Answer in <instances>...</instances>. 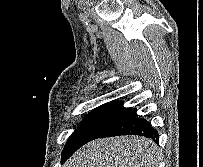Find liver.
<instances>
[{
  "label": "liver",
  "instance_id": "1",
  "mask_svg": "<svg viewBox=\"0 0 203 167\" xmlns=\"http://www.w3.org/2000/svg\"><path fill=\"white\" fill-rule=\"evenodd\" d=\"M158 161V147L152 140L118 136L86 144L64 167H157Z\"/></svg>",
  "mask_w": 203,
  "mask_h": 167
}]
</instances>
